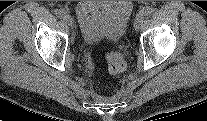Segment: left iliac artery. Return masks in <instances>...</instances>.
Instances as JSON below:
<instances>
[{
    "instance_id": "left-iliac-artery-1",
    "label": "left iliac artery",
    "mask_w": 207,
    "mask_h": 121,
    "mask_svg": "<svg viewBox=\"0 0 207 121\" xmlns=\"http://www.w3.org/2000/svg\"><path fill=\"white\" fill-rule=\"evenodd\" d=\"M153 12V8L150 6L144 7L141 11L140 14L144 16H150V14Z\"/></svg>"
}]
</instances>
